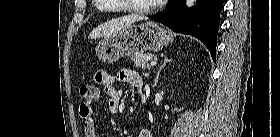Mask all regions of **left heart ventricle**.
Listing matches in <instances>:
<instances>
[{
  "instance_id": "b2bd125f",
  "label": "left heart ventricle",
  "mask_w": 280,
  "mask_h": 137,
  "mask_svg": "<svg viewBox=\"0 0 280 137\" xmlns=\"http://www.w3.org/2000/svg\"><path fill=\"white\" fill-rule=\"evenodd\" d=\"M131 2L135 6L148 7V6L152 5L153 3H155V0H131ZM154 27L159 28V26H154Z\"/></svg>"
}]
</instances>
